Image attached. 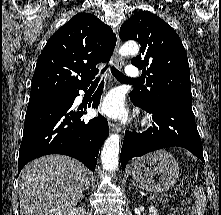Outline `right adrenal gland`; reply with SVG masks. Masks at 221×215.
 <instances>
[{"mask_svg": "<svg viewBox=\"0 0 221 215\" xmlns=\"http://www.w3.org/2000/svg\"><path fill=\"white\" fill-rule=\"evenodd\" d=\"M89 186H90V180H87L85 190H89Z\"/></svg>", "mask_w": 221, "mask_h": 215, "instance_id": "right-adrenal-gland-1", "label": "right adrenal gland"}]
</instances>
